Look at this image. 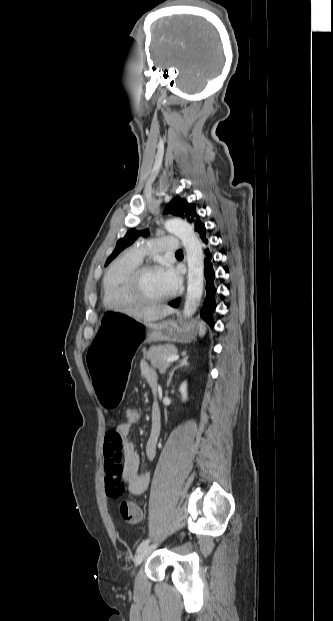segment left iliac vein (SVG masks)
<instances>
[{"label": "left iliac vein", "instance_id": "left-iliac-vein-1", "mask_svg": "<svg viewBox=\"0 0 333 621\" xmlns=\"http://www.w3.org/2000/svg\"><path fill=\"white\" fill-rule=\"evenodd\" d=\"M155 548L156 544H153L142 549L135 557L134 567L137 568Z\"/></svg>", "mask_w": 333, "mask_h": 621}]
</instances>
